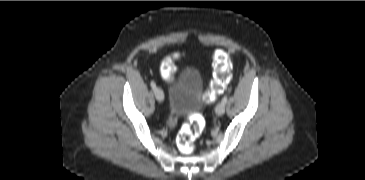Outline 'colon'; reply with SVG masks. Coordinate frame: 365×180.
I'll return each mask as SVG.
<instances>
[{"label":"colon","mask_w":365,"mask_h":180,"mask_svg":"<svg viewBox=\"0 0 365 180\" xmlns=\"http://www.w3.org/2000/svg\"><path fill=\"white\" fill-rule=\"evenodd\" d=\"M213 79L205 94L208 103L214 102L225 89L231 76V61L222 50H215L212 55ZM162 76L170 79L173 74L172 59H168L162 67ZM205 121L200 115H192L188 122L182 126L177 136V146L181 153L191 154L194 150V142L202 133Z\"/></svg>","instance_id":"obj_1"}]
</instances>
